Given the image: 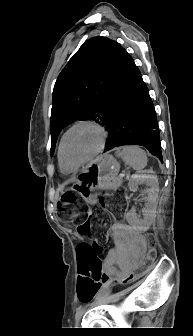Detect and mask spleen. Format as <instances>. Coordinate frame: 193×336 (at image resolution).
Returning <instances> with one entry per match:
<instances>
[{
  "label": "spleen",
  "mask_w": 193,
  "mask_h": 336,
  "mask_svg": "<svg viewBox=\"0 0 193 336\" xmlns=\"http://www.w3.org/2000/svg\"><path fill=\"white\" fill-rule=\"evenodd\" d=\"M116 155L136 171H141L147 165L146 152L138 146H124Z\"/></svg>",
  "instance_id": "obj_1"
}]
</instances>
